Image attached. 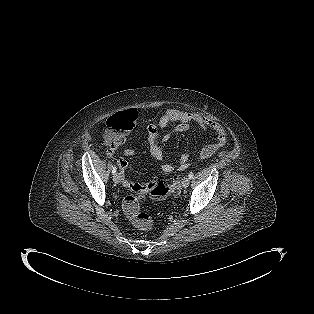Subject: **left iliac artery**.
Returning <instances> with one entry per match:
<instances>
[{
  "label": "left iliac artery",
  "mask_w": 314,
  "mask_h": 314,
  "mask_svg": "<svg viewBox=\"0 0 314 314\" xmlns=\"http://www.w3.org/2000/svg\"><path fill=\"white\" fill-rule=\"evenodd\" d=\"M188 176H189V179H192L194 176L193 172H190V174Z\"/></svg>",
  "instance_id": "1"
}]
</instances>
